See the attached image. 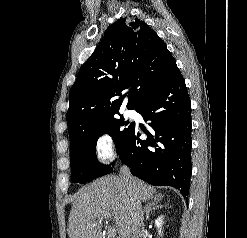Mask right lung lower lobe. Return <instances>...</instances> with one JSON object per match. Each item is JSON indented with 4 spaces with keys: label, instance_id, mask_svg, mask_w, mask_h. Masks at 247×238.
<instances>
[{
    "label": "right lung lower lobe",
    "instance_id": "98d812e1",
    "mask_svg": "<svg viewBox=\"0 0 247 238\" xmlns=\"http://www.w3.org/2000/svg\"><path fill=\"white\" fill-rule=\"evenodd\" d=\"M136 110L151 128L133 123L120 160L134 176L155 186H173L187 199L192 172L191 105L179 69ZM142 133L146 140L139 138Z\"/></svg>",
    "mask_w": 247,
    "mask_h": 238
}]
</instances>
